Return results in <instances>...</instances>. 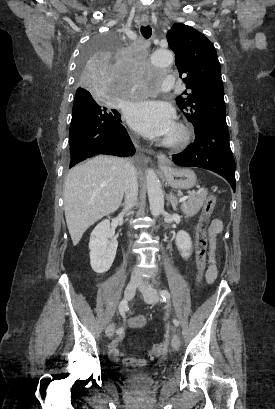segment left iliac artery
Returning a JSON list of instances; mask_svg holds the SVG:
<instances>
[{
	"mask_svg": "<svg viewBox=\"0 0 275 409\" xmlns=\"http://www.w3.org/2000/svg\"><path fill=\"white\" fill-rule=\"evenodd\" d=\"M159 294L162 297L163 301H165L166 303L170 301V293L168 290L162 289L160 290ZM173 323L175 326L179 325V321L177 319H173Z\"/></svg>",
	"mask_w": 275,
	"mask_h": 409,
	"instance_id": "left-iliac-artery-1",
	"label": "left iliac artery"
}]
</instances>
